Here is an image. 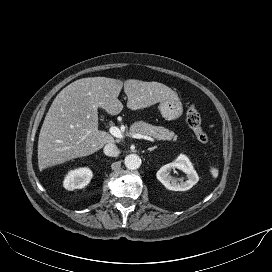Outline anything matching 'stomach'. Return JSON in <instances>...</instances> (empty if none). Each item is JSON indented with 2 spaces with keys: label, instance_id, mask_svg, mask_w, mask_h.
<instances>
[{
  "label": "stomach",
  "instance_id": "obj_1",
  "mask_svg": "<svg viewBox=\"0 0 272 272\" xmlns=\"http://www.w3.org/2000/svg\"><path fill=\"white\" fill-rule=\"evenodd\" d=\"M159 110L163 118L168 121L178 119L183 113L182 103L178 99L162 101Z\"/></svg>",
  "mask_w": 272,
  "mask_h": 272
}]
</instances>
